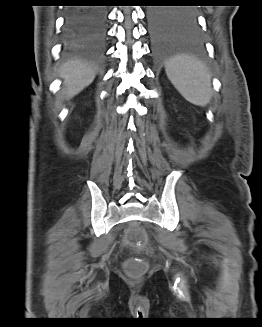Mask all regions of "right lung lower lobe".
Masks as SVG:
<instances>
[{
  "instance_id": "right-lung-lower-lobe-1",
  "label": "right lung lower lobe",
  "mask_w": 262,
  "mask_h": 327,
  "mask_svg": "<svg viewBox=\"0 0 262 327\" xmlns=\"http://www.w3.org/2000/svg\"><path fill=\"white\" fill-rule=\"evenodd\" d=\"M106 11L101 7H71L65 19L68 45L101 46L105 41Z\"/></svg>"
}]
</instances>
